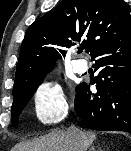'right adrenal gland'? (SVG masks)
<instances>
[{
    "instance_id": "1",
    "label": "right adrenal gland",
    "mask_w": 131,
    "mask_h": 151,
    "mask_svg": "<svg viewBox=\"0 0 131 151\" xmlns=\"http://www.w3.org/2000/svg\"><path fill=\"white\" fill-rule=\"evenodd\" d=\"M89 151H96L95 146H92ZM98 151H102L101 149H98Z\"/></svg>"
}]
</instances>
